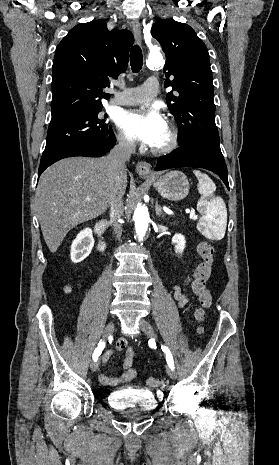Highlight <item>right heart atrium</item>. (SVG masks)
<instances>
[{
    "label": "right heart atrium",
    "mask_w": 279,
    "mask_h": 465,
    "mask_svg": "<svg viewBox=\"0 0 279 465\" xmlns=\"http://www.w3.org/2000/svg\"><path fill=\"white\" fill-rule=\"evenodd\" d=\"M117 140L119 145L124 149H131L134 146L133 141L123 133L118 134Z\"/></svg>",
    "instance_id": "d8ad5b80"
}]
</instances>
